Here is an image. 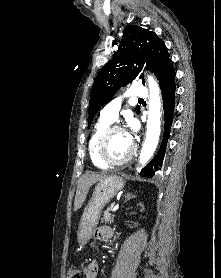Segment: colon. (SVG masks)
I'll return each mask as SVG.
<instances>
[{
    "instance_id": "obj_1",
    "label": "colon",
    "mask_w": 221,
    "mask_h": 278,
    "mask_svg": "<svg viewBox=\"0 0 221 278\" xmlns=\"http://www.w3.org/2000/svg\"><path fill=\"white\" fill-rule=\"evenodd\" d=\"M66 278H86L84 269L80 267H70L67 270Z\"/></svg>"
}]
</instances>
